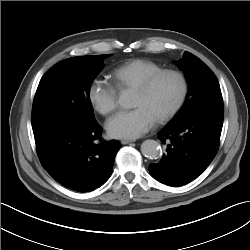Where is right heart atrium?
<instances>
[{
    "label": "right heart atrium",
    "mask_w": 250,
    "mask_h": 250,
    "mask_svg": "<svg viewBox=\"0 0 250 250\" xmlns=\"http://www.w3.org/2000/svg\"><path fill=\"white\" fill-rule=\"evenodd\" d=\"M88 100L102 115L112 113L117 107L116 88L106 80L95 79L88 87Z\"/></svg>",
    "instance_id": "d8ad5b80"
}]
</instances>
